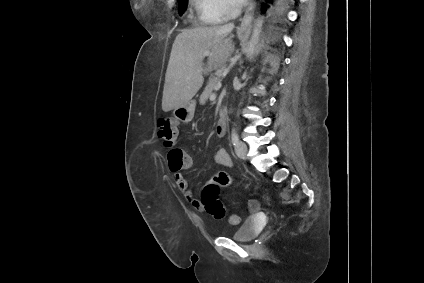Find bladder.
I'll list each match as a JSON object with an SVG mask.
<instances>
[{"label": "bladder", "instance_id": "obj_1", "mask_svg": "<svg viewBox=\"0 0 424 283\" xmlns=\"http://www.w3.org/2000/svg\"><path fill=\"white\" fill-rule=\"evenodd\" d=\"M261 228L262 223L257 217H249L231 235V238L237 242H249L257 237Z\"/></svg>", "mask_w": 424, "mask_h": 283}]
</instances>
